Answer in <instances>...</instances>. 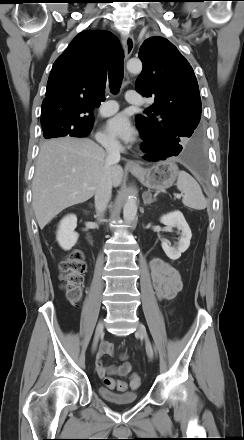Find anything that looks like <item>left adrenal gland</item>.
<instances>
[{
	"mask_svg": "<svg viewBox=\"0 0 244 440\" xmlns=\"http://www.w3.org/2000/svg\"><path fill=\"white\" fill-rule=\"evenodd\" d=\"M143 197V202L144 205H150L151 203H153L154 201H156V199H152V195L151 193H147L145 195L142 196Z\"/></svg>",
	"mask_w": 244,
	"mask_h": 440,
	"instance_id": "obj_1",
	"label": "left adrenal gland"
}]
</instances>
